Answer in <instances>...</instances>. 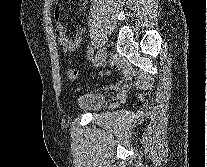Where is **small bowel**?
Here are the masks:
<instances>
[{
	"instance_id": "1",
	"label": "small bowel",
	"mask_w": 207,
	"mask_h": 167,
	"mask_svg": "<svg viewBox=\"0 0 207 167\" xmlns=\"http://www.w3.org/2000/svg\"><path fill=\"white\" fill-rule=\"evenodd\" d=\"M89 0H79V9L84 12L87 8ZM56 20V29L58 32V42L66 53H71L77 50L82 42L83 30L80 29L74 37L68 35L63 22L60 20V9L57 8L54 14Z\"/></svg>"
}]
</instances>
